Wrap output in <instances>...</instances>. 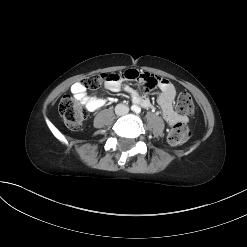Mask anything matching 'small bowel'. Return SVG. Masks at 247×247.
Instances as JSON below:
<instances>
[{
  "label": "small bowel",
  "instance_id": "c3829d8e",
  "mask_svg": "<svg viewBox=\"0 0 247 247\" xmlns=\"http://www.w3.org/2000/svg\"><path fill=\"white\" fill-rule=\"evenodd\" d=\"M128 82L143 83L148 88L157 86L159 89L158 103L161 107L165 121L170 126H174L178 122L185 121V119L178 115L173 109L176 89L174 85L165 78L151 75L148 72H139L137 69H125L119 73H110L104 80L103 84L107 90L112 92L124 90L130 95L134 104H138L143 107H150L151 102L146 95L138 93L129 86H123V84H127ZM70 90L73 97L84 104L90 112L100 109L107 102V100L103 97L89 95L83 84L80 82L74 83Z\"/></svg>",
  "mask_w": 247,
  "mask_h": 247
}]
</instances>
